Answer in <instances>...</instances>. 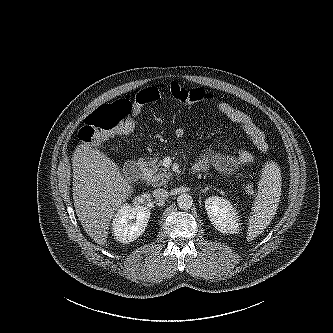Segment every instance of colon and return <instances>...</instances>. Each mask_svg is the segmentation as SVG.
Instances as JSON below:
<instances>
[{"mask_svg":"<svg viewBox=\"0 0 333 333\" xmlns=\"http://www.w3.org/2000/svg\"><path fill=\"white\" fill-rule=\"evenodd\" d=\"M170 95L183 104L209 102L213 95L200 87H185L177 82L170 86ZM161 98L156 87H149L139 91L134 102L121 99L98 107L85 121L79 132V138L86 143L98 144L111 134H129L136 126V116L141 109ZM245 190L254 194L256 189L247 184Z\"/></svg>","mask_w":333,"mask_h":333,"instance_id":"1","label":"colon"}]
</instances>
